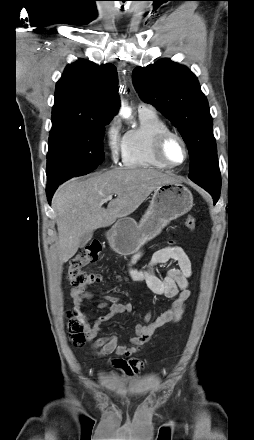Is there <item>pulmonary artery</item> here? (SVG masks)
I'll return each instance as SVG.
<instances>
[{
  "mask_svg": "<svg viewBox=\"0 0 254 440\" xmlns=\"http://www.w3.org/2000/svg\"><path fill=\"white\" fill-rule=\"evenodd\" d=\"M139 112L154 111L153 107L148 104L141 103L138 105Z\"/></svg>",
  "mask_w": 254,
  "mask_h": 440,
  "instance_id": "obj_1",
  "label": "pulmonary artery"
}]
</instances>
